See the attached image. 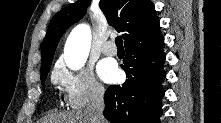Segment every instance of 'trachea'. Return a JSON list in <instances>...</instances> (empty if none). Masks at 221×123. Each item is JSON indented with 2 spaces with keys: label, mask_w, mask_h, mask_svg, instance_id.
Masks as SVG:
<instances>
[{
  "label": "trachea",
  "mask_w": 221,
  "mask_h": 123,
  "mask_svg": "<svg viewBox=\"0 0 221 123\" xmlns=\"http://www.w3.org/2000/svg\"><path fill=\"white\" fill-rule=\"evenodd\" d=\"M115 43H116L117 47H123L122 37L121 36L116 37Z\"/></svg>",
  "instance_id": "obj_1"
}]
</instances>
